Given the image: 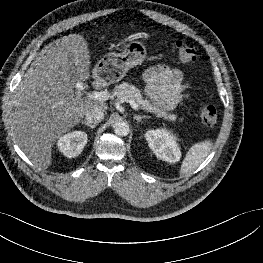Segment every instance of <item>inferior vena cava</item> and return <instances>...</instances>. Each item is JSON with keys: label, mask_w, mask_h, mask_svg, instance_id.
<instances>
[{"label": "inferior vena cava", "mask_w": 263, "mask_h": 263, "mask_svg": "<svg viewBox=\"0 0 263 263\" xmlns=\"http://www.w3.org/2000/svg\"><path fill=\"white\" fill-rule=\"evenodd\" d=\"M104 118V110L99 106H93L85 113V119L88 123L97 124Z\"/></svg>", "instance_id": "602c4592"}]
</instances>
